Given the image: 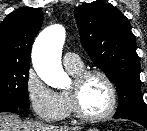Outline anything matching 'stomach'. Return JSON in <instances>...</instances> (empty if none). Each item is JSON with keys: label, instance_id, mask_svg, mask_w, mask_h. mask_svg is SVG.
I'll return each mask as SVG.
<instances>
[{"label": "stomach", "instance_id": "1", "mask_svg": "<svg viewBox=\"0 0 147 131\" xmlns=\"http://www.w3.org/2000/svg\"><path fill=\"white\" fill-rule=\"evenodd\" d=\"M87 131H99V130L96 128H92V129H88Z\"/></svg>", "mask_w": 147, "mask_h": 131}]
</instances>
